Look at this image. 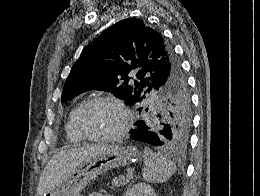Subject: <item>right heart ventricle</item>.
I'll use <instances>...</instances> for the list:
<instances>
[{
	"instance_id": "1",
	"label": "right heart ventricle",
	"mask_w": 260,
	"mask_h": 196,
	"mask_svg": "<svg viewBox=\"0 0 260 196\" xmlns=\"http://www.w3.org/2000/svg\"><path fill=\"white\" fill-rule=\"evenodd\" d=\"M85 100L79 101L76 106L71 110L68 121L65 126L67 140L73 144L80 143L84 140L75 125V117L78 109L82 106Z\"/></svg>"
}]
</instances>
